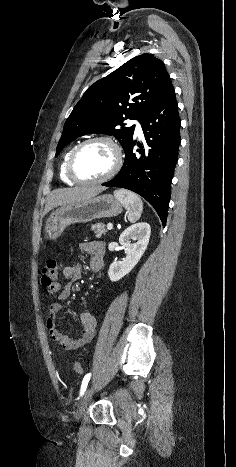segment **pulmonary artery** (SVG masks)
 <instances>
[{
	"mask_svg": "<svg viewBox=\"0 0 236 467\" xmlns=\"http://www.w3.org/2000/svg\"><path fill=\"white\" fill-rule=\"evenodd\" d=\"M133 124H135V130L138 135H142V128L141 125L138 121L134 120L132 121Z\"/></svg>",
	"mask_w": 236,
	"mask_h": 467,
	"instance_id": "1",
	"label": "pulmonary artery"
}]
</instances>
